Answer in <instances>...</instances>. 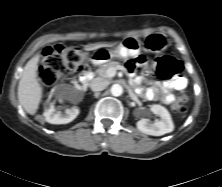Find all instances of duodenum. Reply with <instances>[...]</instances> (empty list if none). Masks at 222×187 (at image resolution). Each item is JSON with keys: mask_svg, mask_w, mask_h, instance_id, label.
Instances as JSON below:
<instances>
[{"mask_svg": "<svg viewBox=\"0 0 222 187\" xmlns=\"http://www.w3.org/2000/svg\"><path fill=\"white\" fill-rule=\"evenodd\" d=\"M93 73L89 70H86L80 75V82L82 85H85L89 80H91Z\"/></svg>", "mask_w": 222, "mask_h": 187, "instance_id": "410a0bca", "label": "duodenum"}]
</instances>
